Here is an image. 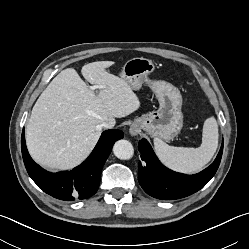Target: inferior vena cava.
<instances>
[{
  "instance_id": "obj_1",
  "label": "inferior vena cava",
  "mask_w": 249,
  "mask_h": 249,
  "mask_svg": "<svg viewBox=\"0 0 249 249\" xmlns=\"http://www.w3.org/2000/svg\"><path fill=\"white\" fill-rule=\"evenodd\" d=\"M113 126H114V124L111 122H103L101 124V127L105 128V129H111V128H113Z\"/></svg>"
}]
</instances>
